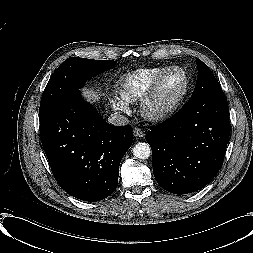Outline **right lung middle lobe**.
<instances>
[{
  "mask_svg": "<svg viewBox=\"0 0 253 253\" xmlns=\"http://www.w3.org/2000/svg\"><path fill=\"white\" fill-rule=\"evenodd\" d=\"M113 60H92L79 57L66 59L53 73L42 95L40 120L45 118L61 100L76 93L85 81L115 66Z\"/></svg>",
  "mask_w": 253,
  "mask_h": 253,
  "instance_id": "1",
  "label": "right lung middle lobe"
}]
</instances>
